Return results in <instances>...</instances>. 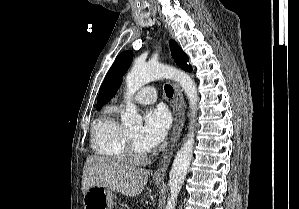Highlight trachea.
<instances>
[{
	"mask_svg": "<svg viewBox=\"0 0 299 209\" xmlns=\"http://www.w3.org/2000/svg\"><path fill=\"white\" fill-rule=\"evenodd\" d=\"M165 93L167 95V97L171 98L173 96V88L170 85H165L164 87Z\"/></svg>",
	"mask_w": 299,
	"mask_h": 209,
	"instance_id": "obj_1",
	"label": "trachea"
}]
</instances>
